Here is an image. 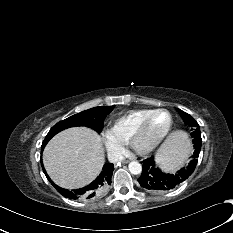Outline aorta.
Wrapping results in <instances>:
<instances>
[{
  "mask_svg": "<svg viewBox=\"0 0 233 233\" xmlns=\"http://www.w3.org/2000/svg\"><path fill=\"white\" fill-rule=\"evenodd\" d=\"M131 174L138 175L142 172V165L137 161H132L128 165Z\"/></svg>",
  "mask_w": 233,
  "mask_h": 233,
  "instance_id": "obj_1",
  "label": "aorta"
}]
</instances>
